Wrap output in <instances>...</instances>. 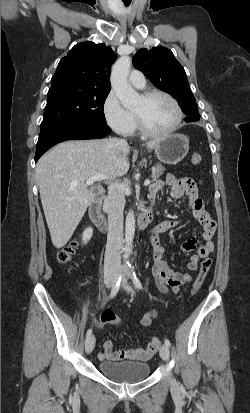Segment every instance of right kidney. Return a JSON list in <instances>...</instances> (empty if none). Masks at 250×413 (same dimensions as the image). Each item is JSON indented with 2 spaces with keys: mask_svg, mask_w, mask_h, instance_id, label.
Here are the masks:
<instances>
[{
  "mask_svg": "<svg viewBox=\"0 0 250 413\" xmlns=\"http://www.w3.org/2000/svg\"><path fill=\"white\" fill-rule=\"evenodd\" d=\"M93 234V229L92 228H87L84 232H83V237H82V241L84 244H86L90 238L92 237Z\"/></svg>",
  "mask_w": 250,
  "mask_h": 413,
  "instance_id": "obj_1",
  "label": "right kidney"
}]
</instances>
